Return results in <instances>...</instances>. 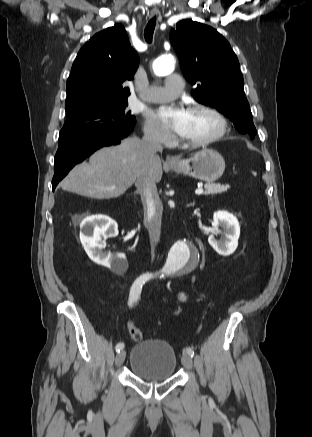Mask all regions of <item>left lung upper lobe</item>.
I'll use <instances>...</instances> for the list:
<instances>
[{
	"label": "left lung upper lobe",
	"instance_id": "obj_1",
	"mask_svg": "<svg viewBox=\"0 0 312 437\" xmlns=\"http://www.w3.org/2000/svg\"><path fill=\"white\" fill-rule=\"evenodd\" d=\"M185 78L197 85L193 97L216 108L240 133L253 139L256 128L244 93L239 61L228 41L214 28L182 20L170 33Z\"/></svg>",
	"mask_w": 312,
	"mask_h": 437
}]
</instances>
